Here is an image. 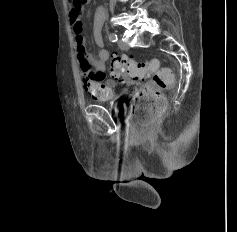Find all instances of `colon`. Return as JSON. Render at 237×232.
Here are the masks:
<instances>
[{"instance_id":"colon-1","label":"colon","mask_w":237,"mask_h":232,"mask_svg":"<svg viewBox=\"0 0 237 232\" xmlns=\"http://www.w3.org/2000/svg\"><path fill=\"white\" fill-rule=\"evenodd\" d=\"M88 1L69 0L75 8H81ZM110 73L119 81L129 77L143 82L134 98L133 121L139 129L149 132L164 111L165 100L162 90L173 85L172 72L169 69H161L159 62L155 59L137 62L127 56L114 55L110 63Z\"/></svg>"}]
</instances>
